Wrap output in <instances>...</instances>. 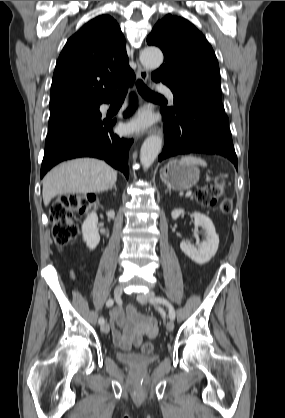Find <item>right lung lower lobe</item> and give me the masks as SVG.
Segmentation results:
<instances>
[{
  "label": "right lung lower lobe",
  "instance_id": "right-lung-lower-lobe-1",
  "mask_svg": "<svg viewBox=\"0 0 285 418\" xmlns=\"http://www.w3.org/2000/svg\"><path fill=\"white\" fill-rule=\"evenodd\" d=\"M130 109L124 113L128 116ZM115 120L95 118L65 124L48 133L40 177L61 161L95 157L129 177L128 153L132 140L120 138L112 128Z\"/></svg>",
  "mask_w": 285,
  "mask_h": 418
}]
</instances>
